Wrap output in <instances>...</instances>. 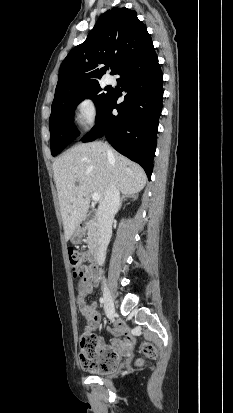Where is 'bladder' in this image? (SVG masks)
<instances>
[{"mask_svg": "<svg viewBox=\"0 0 233 413\" xmlns=\"http://www.w3.org/2000/svg\"><path fill=\"white\" fill-rule=\"evenodd\" d=\"M109 372H107V373H100L101 375H104V374H108Z\"/></svg>", "mask_w": 233, "mask_h": 413, "instance_id": "31cf9c89", "label": "bladder"}]
</instances>
